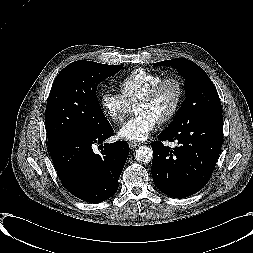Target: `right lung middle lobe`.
<instances>
[{"label": "right lung middle lobe", "instance_id": "right-lung-middle-lobe-1", "mask_svg": "<svg viewBox=\"0 0 253 253\" xmlns=\"http://www.w3.org/2000/svg\"><path fill=\"white\" fill-rule=\"evenodd\" d=\"M124 65L79 60L56 77L46 106L48 148L80 129H99L109 124L99 105L96 89Z\"/></svg>", "mask_w": 253, "mask_h": 253}]
</instances>
